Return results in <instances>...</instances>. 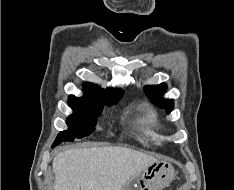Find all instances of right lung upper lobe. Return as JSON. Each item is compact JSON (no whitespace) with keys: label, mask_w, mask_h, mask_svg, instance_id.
<instances>
[{"label":"right lung upper lobe","mask_w":234,"mask_h":190,"mask_svg":"<svg viewBox=\"0 0 234 190\" xmlns=\"http://www.w3.org/2000/svg\"><path fill=\"white\" fill-rule=\"evenodd\" d=\"M85 95L81 98L74 95L69 96V101H79L96 104H114L122 97V90L101 89L94 84L87 83L85 86Z\"/></svg>","instance_id":"obj_1"}]
</instances>
